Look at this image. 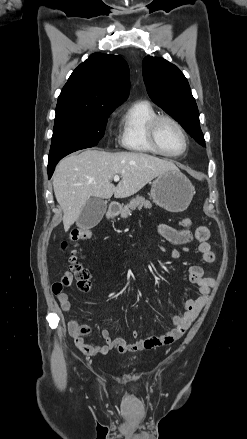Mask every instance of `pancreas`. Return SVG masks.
Returning a JSON list of instances; mask_svg holds the SVG:
<instances>
[{
	"instance_id": "cf45deb5",
	"label": "pancreas",
	"mask_w": 247,
	"mask_h": 439,
	"mask_svg": "<svg viewBox=\"0 0 247 439\" xmlns=\"http://www.w3.org/2000/svg\"><path fill=\"white\" fill-rule=\"evenodd\" d=\"M142 207L150 209L152 207V204L149 200H146L142 196H136L135 198H132L130 202L126 204L121 210V218H128L132 214L133 210L142 209Z\"/></svg>"
}]
</instances>
